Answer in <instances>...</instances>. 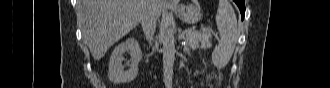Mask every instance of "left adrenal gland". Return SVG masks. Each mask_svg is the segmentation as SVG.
I'll return each instance as SVG.
<instances>
[{"mask_svg":"<svg viewBox=\"0 0 330 88\" xmlns=\"http://www.w3.org/2000/svg\"><path fill=\"white\" fill-rule=\"evenodd\" d=\"M184 52H185V53H188V50H187L186 48H184Z\"/></svg>","mask_w":330,"mask_h":88,"instance_id":"obj_1","label":"left adrenal gland"}]
</instances>
